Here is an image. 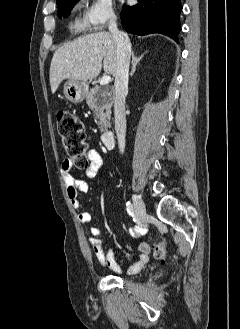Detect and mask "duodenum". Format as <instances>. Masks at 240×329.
I'll use <instances>...</instances> for the list:
<instances>
[{
    "instance_id": "1",
    "label": "duodenum",
    "mask_w": 240,
    "mask_h": 329,
    "mask_svg": "<svg viewBox=\"0 0 240 329\" xmlns=\"http://www.w3.org/2000/svg\"><path fill=\"white\" fill-rule=\"evenodd\" d=\"M114 131L107 130L102 133L101 135V141L104 144V146L108 149H112L114 146Z\"/></svg>"
}]
</instances>
